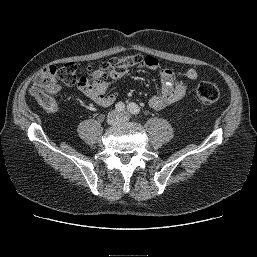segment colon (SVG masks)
Segmentation results:
<instances>
[{
	"label": "colon",
	"instance_id": "colon-1",
	"mask_svg": "<svg viewBox=\"0 0 257 257\" xmlns=\"http://www.w3.org/2000/svg\"><path fill=\"white\" fill-rule=\"evenodd\" d=\"M144 59L139 54L111 58L103 62L97 69L91 66L80 68L74 62H68L60 67L48 66L36 77L30 93L33 98L47 111L57 109V102L53 97L58 82L68 86H84L95 80L104 81L112 73L124 74L136 65H141ZM219 89L208 81L200 82L196 87L197 99L206 105L215 103L219 99Z\"/></svg>",
	"mask_w": 257,
	"mask_h": 257
}]
</instances>
